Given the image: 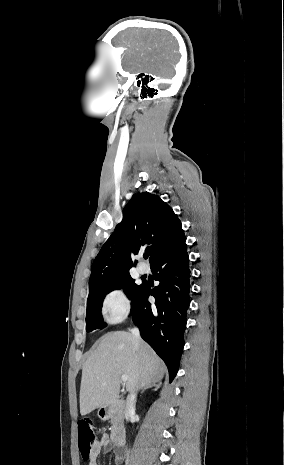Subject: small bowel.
I'll return each instance as SVG.
<instances>
[{
    "instance_id": "c3829d8e",
    "label": "small bowel",
    "mask_w": 284,
    "mask_h": 465,
    "mask_svg": "<svg viewBox=\"0 0 284 465\" xmlns=\"http://www.w3.org/2000/svg\"><path fill=\"white\" fill-rule=\"evenodd\" d=\"M102 450H104L105 452L111 450L109 436L106 433L102 434L99 438L96 439L92 448V454L89 465H97L96 458ZM119 459L120 455L115 454V460L118 461Z\"/></svg>"
}]
</instances>
